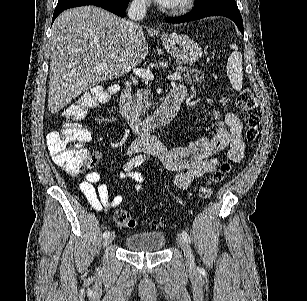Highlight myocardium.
<instances>
[{"label": "myocardium", "instance_id": "1", "mask_svg": "<svg viewBox=\"0 0 307 301\" xmlns=\"http://www.w3.org/2000/svg\"><path fill=\"white\" fill-rule=\"evenodd\" d=\"M192 2V0H175L174 3L164 4L161 12H165V17H172L173 13L188 9Z\"/></svg>", "mask_w": 307, "mask_h": 301}]
</instances>
